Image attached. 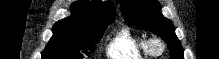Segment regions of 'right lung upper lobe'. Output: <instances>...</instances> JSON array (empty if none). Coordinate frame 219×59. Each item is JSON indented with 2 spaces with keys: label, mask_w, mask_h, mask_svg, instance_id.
Here are the masks:
<instances>
[{
  "label": "right lung upper lobe",
  "mask_w": 219,
  "mask_h": 59,
  "mask_svg": "<svg viewBox=\"0 0 219 59\" xmlns=\"http://www.w3.org/2000/svg\"><path fill=\"white\" fill-rule=\"evenodd\" d=\"M115 13L114 5L109 1L79 0L71 6V16L57 23L87 28L103 27L115 20Z\"/></svg>",
  "instance_id": "1"
}]
</instances>
